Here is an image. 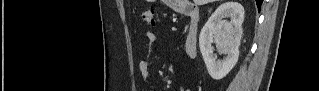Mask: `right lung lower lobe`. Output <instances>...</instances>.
<instances>
[{
    "label": "right lung lower lobe",
    "mask_w": 319,
    "mask_h": 91,
    "mask_svg": "<svg viewBox=\"0 0 319 91\" xmlns=\"http://www.w3.org/2000/svg\"><path fill=\"white\" fill-rule=\"evenodd\" d=\"M262 2H263V0H256V4H257V7H258L259 11H260Z\"/></svg>",
    "instance_id": "obj_1"
}]
</instances>
